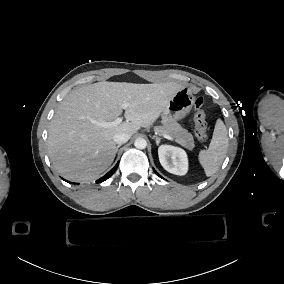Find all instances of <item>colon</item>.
<instances>
[{
    "mask_svg": "<svg viewBox=\"0 0 284 284\" xmlns=\"http://www.w3.org/2000/svg\"><path fill=\"white\" fill-rule=\"evenodd\" d=\"M203 103L204 101L201 97H195L193 100L196 136L200 140L205 141L207 139V120L206 113L203 110Z\"/></svg>",
    "mask_w": 284,
    "mask_h": 284,
    "instance_id": "1",
    "label": "colon"
}]
</instances>
